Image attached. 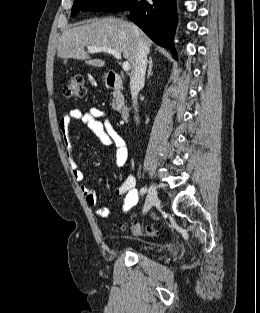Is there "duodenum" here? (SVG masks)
I'll return each instance as SVG.
<instances>
[{"label":"duodenum","instance_id":"obj_1","mask_svg":"<svg viewBox=\"0 0 260 313\" xmlns=\"http://www.w3.org/2000/svg\"><path fill=\"white\" fill-rule=\"evenodd\" d=\"M106 84L109 88L116 91L118 96L123 91V81L122 78L115 73L114 71H110L107 74ZM119 116L123 122H128L130 119V110L128 107L122 105L119 109Z\"/></svg>","mask_w":260,"mask_h":313}]
</instances>
